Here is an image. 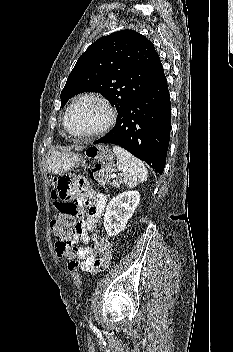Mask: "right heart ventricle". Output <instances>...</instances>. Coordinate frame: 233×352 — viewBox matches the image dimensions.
I'll return each instance as SVG.
<instances>
[{"instance_id": "e07e8e85", "label": "right heart ventricle", "mask_w": 233, "mask_h": 352, "mask_svg": "<svg viewBox=\"0 0 233 352\" xmlns=\"http://www.w3.org/2000/svg\"><path fill=\"white\" fill-rule=\"evenodd\" d=\"M63 123H64V126H65V116H64V121H63ZM66 128V127H65ZM67 130V129H66Z\"/></svg>"}]
</instances>
